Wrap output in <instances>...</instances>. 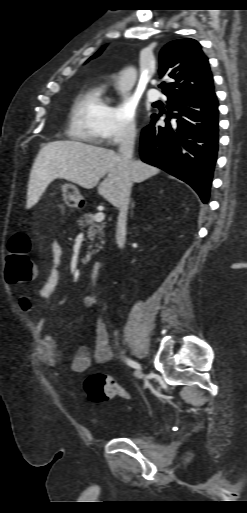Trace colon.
<instances>
[{"instance_id": "1", "label": "colon", "mask_w": 247, "mask_h": 513, "mask_svg": "<svg viewBox=\"0 0 247 513\" xmlns=\"http://www.w3.org/2000/svg\"><path fill=\"white\" fill-rule=\"evenodd\" d=\"M31 242L26 234H16L8 247L5 278L8 283L30 281L35 275L34 263L30 255ZM88 399L94 403H105L115 397L130 401L132 395L121 387L111 376L94 373L84 382Z\"/></svg>"}]
</instances>
